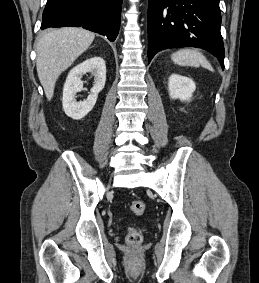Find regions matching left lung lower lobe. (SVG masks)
<instances>
[{
	"label": "left lung lower lobe",
	"mask_w": 259,
	"mask_h": 283,
	"mask_svg": "<svg viewBox=\"0 0 259 283\" xmlns=\"http://www.w3.org/2000/svg\"><path fill=\"white\" fill-rule=\"evenodd\" d=\"M219 0H149L148 61L166 48L209 51L224 68Z\"/></svg>",
	"instance_id": "1"
}]
</instances>
